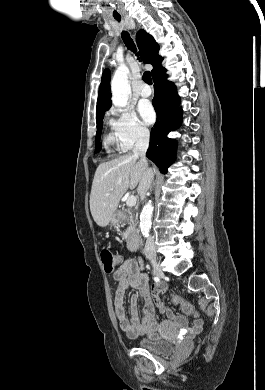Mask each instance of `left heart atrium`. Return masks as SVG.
Returning a JSON list of instances; mask_svg holds the SVG:
<instances>
[{
    "mask_svg": "<svg viewBox=\"0 0 265 390\" xmlns=\"http://www.w3.org/2000/svg\"><path fill=\"white\" fill-rule=\"evenodd\" d=\"M139 112L141 117L147 124H152L155 121L156 115L150 104H141L139 106Z\"/></svg>",
    "mask_w": 265,
    "mask_h": 390,
    "instance_id": "obj_1",
    "label": "left heart atrium"
}]
</instances>
